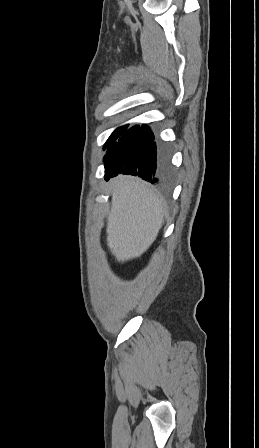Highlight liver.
Segmentation results:
<instances>
[{"label": "liver", "mask_w": 259, "mask_h": 448, "mask_svg": "<svg viewBox=\"0 0 259 448\" xmlns=\"http://www.w3.org/2000/svg\"><path fill=\"white\" fill-rule=\"evenodd\" d=\"M111 196L108 248L118 262L139 258L162 228L164 200L147 182L133 176L113 178Z\"/></svg>", "instance_id": "obj_1"}]
</instances>
